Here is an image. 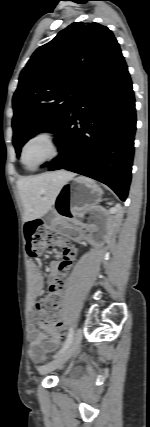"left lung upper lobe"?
<instances>
[{
	"instance_id": "obj_1",
	"label": "left lung upper lobe",
	"mask_w": 150,
	"mask_h": 427,
	"mask_svg": "<svg viewBox=\"0 0 150 427\" xmlns=\"http://www.w3.org/2000/svg\"><path fill=\"white\" fill-rule=\"evenodd\" d=\"M118 49L106 26L75 22L33 53L13 96L17 154L36 133L60 127L84 85Z\"/></svg>"
}]
</instances>
